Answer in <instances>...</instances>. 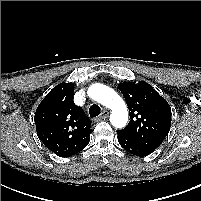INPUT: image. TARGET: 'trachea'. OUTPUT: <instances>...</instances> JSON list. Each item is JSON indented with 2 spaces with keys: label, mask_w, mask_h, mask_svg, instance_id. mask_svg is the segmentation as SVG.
I'll return each mask as SVG.
<instances>
[{
  "label": "trachea",
  "mask_w": 201,
  "mask_h": 201,
  "mask_svg": "<svg viewBox=\"0 0 201 201\" xmlns=\"http://www.w3.org/2000/svg\"><path fill=\"white\" fill-rule=\"evenodd\" d=\"M100 113L101 109L97 104H93L90 106L89 114L91 118L97 117L98 115H100Z\"/></svg>",
  "instance_id": "3493384b"
}]
</instances>
